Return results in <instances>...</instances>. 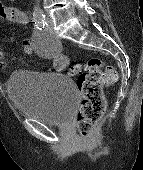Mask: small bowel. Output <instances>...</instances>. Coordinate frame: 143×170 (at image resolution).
<instances>
[{
    "instance_id": "obj_1",
    "label": "small bowel",
    "mask_w": 143,
    "mask_h": 170,
    "mask_svg": "<svg viewBox=\"0 0 143 170\" xmlns=\"http://www.w3.org/2000/svg\"><path fill=\"white\" fill-rule=\"evenodd\" d=\"M0 20H4L9 23H14L19 26H25L27 24V16L25 12L17 7L7 6L0 3ZM23 48L26 53H38L34 43L30 40H24L22 42ZM59 57H62L67 62V59L64 56H55L53 58V67L56 69L61 68V63L59 61ZM7 66V62L4 59V53L0 48V68H4Z\"/></svg>"
}]
</instances>
